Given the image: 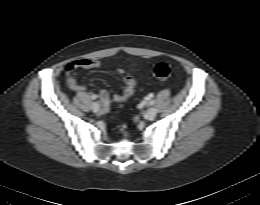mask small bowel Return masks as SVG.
Wrapping results in <instances>:
<instances>
[{"label": "small bowel", "mask_w": 260, "mask_h": 205, "mask_svg": "<svg viewBox=\"0 0 260 205\" xmlns=\"http://www.w3.org/2000/svg\"><path fill=\"white\" fill-rule=\"evenodd\" d=\"M100 63L94 59H78L73 62L68 63L65 70L66 83L70 90L75 92H83L86 87L82 83L78 82L76 79V71L78 69H96ZM119 75L121 76L122 82L124 84V89L121 92L115 93L112 98L107 90L102 89L98 98L104 107H108L111 103H120L127 100L132 96L136 86V79L126 71L119 69Z\"/></svg>", "instance_id": "obj_1"}]
</instances>
